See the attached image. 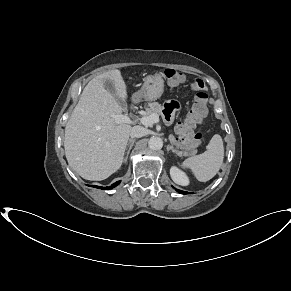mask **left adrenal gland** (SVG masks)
I'll return each instance as SVG.
<instances>
[{
  "instance_id": "obj_1",
  "label": "left adrenal gland",
  "mask_w": 291,
  "mask_h": 291,
  "mask_svg": "<svg viewBox=\"0 0 291 291\" xmlns=\"http://www.w3.org/2000/svg\"><path fill=\"white\" fill-rule=\"evenodd\" d=\"M171 150L173 153L177 154L178 156H180L179 152L175 150V148L173 147V145H167V151Z\"/></svg>"
}]
</instances>
